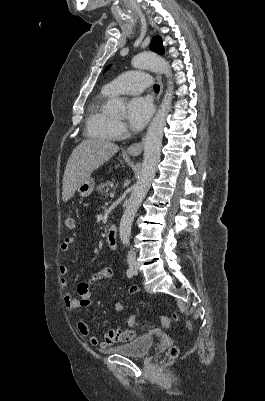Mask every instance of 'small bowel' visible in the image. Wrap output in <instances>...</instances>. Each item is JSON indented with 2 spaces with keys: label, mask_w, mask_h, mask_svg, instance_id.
<instances>
[{
  "label": "small bowel",
  "mask_w": 265,
  "mask_h": 401,
  "mask_svg": "<svg viewBox=\"0 0 265 401\" xmlns=\"http://www.w3.org/2000/svg\"><path fill=\"white\" fill-rule=\"evenodd\" d=\"M74 239V234L64 238L60 245V250L62 252H67L74 242ZM59 273L61 276V285L62 287L66 288L63 295L65 306L69 311L76 312L80 308H87L91 305L90 285L110 277L112 272L110 268L104 267L88 279L80 282L77 286V292L80 296L79 299L67 289L69 286L67 279L69 267L67 265H61L59 268ZM137 292L138 289L135 286H132L128 291L129 295H135ZM113 308L115 312H121L123 310V305L121 303H115ZM104 327V339L99 341L95 335L91 334L88 324L82 318H77V330L79 334L83 337H87L90 345L98 346L102 350H107L118 343H125L132 339L129 330L120 331L119 329L115 328L110 321H105Z\"/></svg>",
  "instance_id": "c3829d8e"
}]
</instances>
